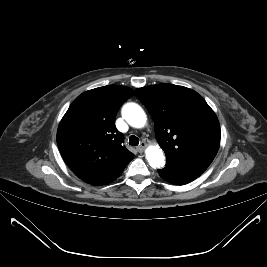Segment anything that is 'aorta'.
<instances>
[{
  "mask_svg": "<svg viewBox=\"0 0 267 267\" xmlns=\"http://www.w3.org/2000/svg\"><path fill=\"white\" fill-rule=\"evenodd\" d=\"M122 116L134 128H142L147 122V115L142 107L133 102L126 103L122 107ZM145 155L151 167L160 168L165 165V156L158 145L147 147Z\"/></svg>",
  "mask_w": 267,
  "mask_h": 267,
  "instance_id": "obj_1",
  "label": "aorta"
}]
</instances>
